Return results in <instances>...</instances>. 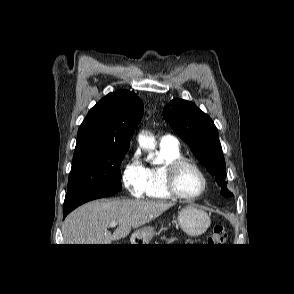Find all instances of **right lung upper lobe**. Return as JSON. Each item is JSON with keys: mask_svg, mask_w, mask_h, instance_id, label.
<instances>
[{"mask_svg": "<svg viewBox=\"0 0 294 294\" xmlns=\"http://www.w3.org/2000/svg\"><path fill=\"white\" fill-rule=\"evenodd\" d=\"M142 114L143 103L137 94L126 90L108 94L96 103L80 125L76 148H129Z\"/></svg>", "mask_w": 294, "mask_h": 294, "instance_id": "cb5924a9", "label": "right lung upper lobe"}]
</instances>
